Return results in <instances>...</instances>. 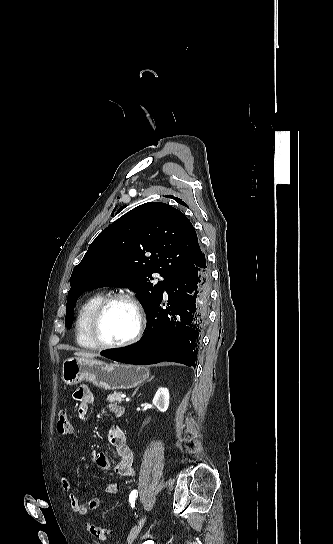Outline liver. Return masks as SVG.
<instances>
[{
  "label": "liver",
  "mask_w": 333,
  "mask_h": 544,
  "mask_svg": "<svg viewBox=\"0 0 333 544\" xmlns=\"http://www.w3.org/2000/svg\"><path fill=\"white\" fill-rule=\"evenodd\" d=\"M74 355L77 356V357H80V358H85V359H93L94 357L99 356L98 354L90 353V352H84V351L75 352Z\"/></svg>",
  "instance_id": "obj_1"
}]
</instances>
